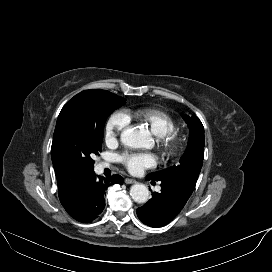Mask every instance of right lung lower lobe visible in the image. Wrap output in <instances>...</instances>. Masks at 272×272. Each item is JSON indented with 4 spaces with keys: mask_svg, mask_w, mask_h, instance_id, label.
<instances>
[{
    "mask_svg": "<svg viewBox=\"0 0 272 272\" xmlns=\"http://www.w3.org/2000/svg\"><path fill=\"white\" fill-rule=\"evenodd\" d=\"M123 182L120 175L104 178L97 177L92 172L78 189L72 201L64 208L75 220L82 223L92 222L105 207V190L113 184H123Z\"/></svg>",
    "mask_w": 272,
    "mask_h": 272,
    "instance_id": "1",
    "label": "right lung lower lobe"
}]
</instances>
